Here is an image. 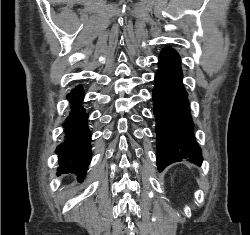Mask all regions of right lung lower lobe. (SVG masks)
Segmentation results:
<instances>
[{
    "label": "right lung lower lobe",
    "instance_id": "98d812e1",
    "mask_svg": "<svg viewBox=\"0 0 250 235\" xmlns=\"http://www.w3.org/2000/svg\"><path fill=\"white\" fill-rule=\"evenodd\" d=\"M83 97L84 90L81 85L67 95L72 107L67 122L64 124L66 139L56 148L60 164L58 173H76L81 178H84L91 159V134L87 125L88 113L80 106Z\"/></svg>",
    "mask_w": 250,
    "mask_h": 235
}]
</instances>
